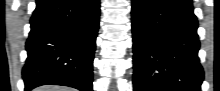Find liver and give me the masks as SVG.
<instances>
[{
  "mask_svg": "<svg viewBox=\"0 0 220 91\" xmlns=\"http://www.w3.org/2000/svg\"><path fill=\"white\" fill-rule=\"evenodd\" d=\"M35 91H72V90L58 86H42L40 88H37Z\"/></svg>",
  "mask_w": 220,
  "mask_h": 91,
  "instance_id": "liver-1",
  "label": "liver"
}]
</instances>
